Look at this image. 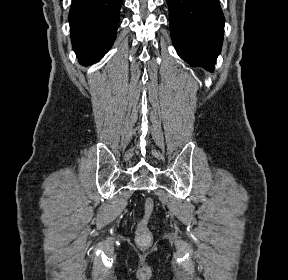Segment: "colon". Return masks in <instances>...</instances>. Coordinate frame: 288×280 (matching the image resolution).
Segmentation results:
<instances>
[{
    "instance_id": "5ec220e1",
    "label": "colon",
    "mask_w": 288,
    "mask_h": 280,
    "mask_svg": "<svg viewBox=\"0 0 288 280\" xmlns=\"http://www.w3.org/2000/svg\"><path fill=\"white\" fill-rule=\"evenodd\" d=\"M155 208V203L153 199L148 198L144 203L143 217L137 225L136 228V241L138 245L146 247L150 245L152 241V234L147 226L148 219L153 213Z\"/></svg>"
}]
</instances>
